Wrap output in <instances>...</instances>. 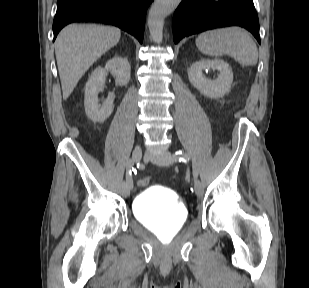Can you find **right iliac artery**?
I'll return each instance as SVG.
<instances>
[{
  "label": "right iliac artery",
  "instance_id": "right-iliac-artery-1",
  "mask_svg": "<svg viewBox=\"0 0 309 288\" xmlns=\"http://www.w3.org/2000/svg\"><path fill=\"white\" fill-rule=\"evenodd\" d=\"M139 164V161L138 160H135L133 163H128L127 164V169H126V184H127V186L128 187H131V186H133V183H132V174H131V171H133V166H137L136 168H137V170H146L147 171V169L146 168H143V165H138Z\"/></svg>",
  "mask_w": 309,
  "mask_h": 288
}]
</instances>
